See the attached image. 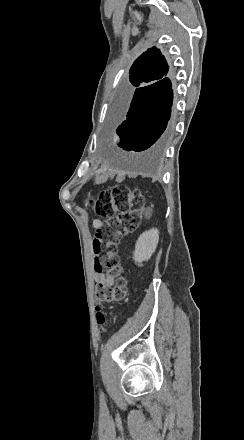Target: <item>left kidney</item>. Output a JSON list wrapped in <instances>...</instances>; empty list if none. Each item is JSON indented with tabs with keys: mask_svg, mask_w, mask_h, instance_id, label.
Instances as JSON below:
<instances>
[{
	"mask_svg": "<svg viewBox=\"0 0 244 440\" xmlns=\"http://www.w3.org/2000/svg\"><path fill=\"white\" fill-rule=\"evenodd\" d=\"M159 242V230H147L139 236L135 244L134 262L137 266H142V262L150 260L152 254H154Z\"/></svg>",
	"mask_w": 244,
	"mask_h": 440,
	"instance_id": "obj_1",
	"label": "left kidney"
}]
</instances>
